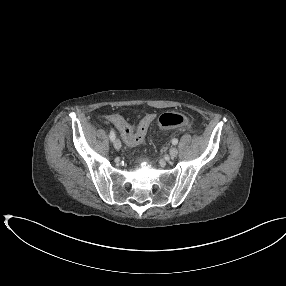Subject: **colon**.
<instances>
[{
	"instance_id": "colon-1",
	"label": "colon",
	"mask_w": 286,
	"mask_h": 286,
	"mask_svg": "<svg viewBox=\"0 0 286 286\" xmlns=\"http://www.w3.org/2000/svg\"><path fill=\"white\" fill-rule=\"evenodd\" d=\"M189 123V118L181 113H164L158 118V126L161 129H172L182 127ZM149 123L147 121L141 122L136 131L134 132L133 136L127 139V144L129 146H136L141 144L147 134L149 129Z\"/></svg>"
}]
</instances>
